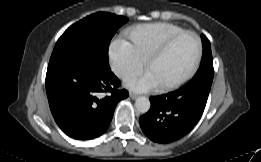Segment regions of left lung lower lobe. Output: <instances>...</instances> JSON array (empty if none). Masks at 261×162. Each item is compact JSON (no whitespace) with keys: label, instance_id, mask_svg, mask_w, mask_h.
<instances>
[{"label":"left lung lower lobe","instance_id":"left-lung-lower-lobe-1","mask_svg":"<svg viewBox=\"0 0 261 162\" xmlns=\"http://www.w3.org/2000/svg\"><path fill=\"white\" fill-rule=\"evenodd\" d=\"M212 81L211 75H199L177 91L151 97L150 110L140 118L144 134L163 144L188 134L204 111Z\"/></svg>","mask_w":261,"mask_h":162}]
</instances>
